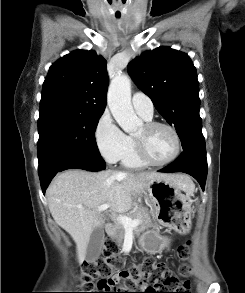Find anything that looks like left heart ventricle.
<instances>
[{
    "instance_id": "b2bd125f",
    "label": "left heart ventricle",
    "mask_w": 245,
    "mask_h": 293,
    "mask_svg": "<svg viewBox=\"0 0 245 293\" xmlns=\"http://www.w3.org/2000/svg\"><path fill=\"white\" fill-rule=\"evenodd\" d=\"M134 137L143 144L146 154L153 161H164L170 158L174 152V138L166 128L147 129L142 126Z\"/></svg>"
}]
</instances>
